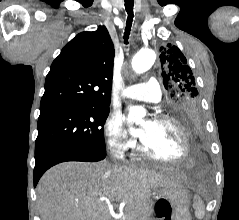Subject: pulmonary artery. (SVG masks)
I'll return each mask as SVG.
<instances>
[{
  "label": "pulmonary artery",
  "instance_id": "e3ab8cb5",
  "mask_svg": "<svg viewBox=\"0 0 239 220\" xmlns=\"http://www.w3.org/2000/svg\"><path fill=\"white\" fill-rule=\"evenodd\" d=\"M122 96L134 100L158 102L161 99V88L158 81L151 78L146 82L125 88Z\"/></svg>",
  "mask_w": 239,
  "mask_h": 220
}]
</instances>
